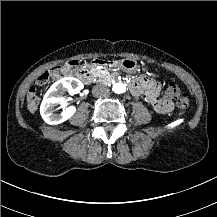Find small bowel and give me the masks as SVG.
<instances>
[{
    "instance_id": "obj_1",
    "label": "small bowel",
    "mask_w": 217,
    "mask_h": 217,
    "mask_svg": "<svg viewBox=\"0 0 217 217\" xmlns=\"http://www.w3.org/2000/svg\"><path fill=\"white\" fill-rule=\"evenodd\" d=\"M140 88L132 92V95L139 96L143 93V88L146 89L148 104L160 114H167L172 111L173 103L170 96L158 98L159 84L151 78H141L138 80Z\"/></svg>"
}]
</instances>
